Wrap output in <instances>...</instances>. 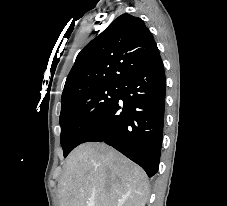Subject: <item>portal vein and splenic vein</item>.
Here are the masks:
<instances>
[{"mask_svg": "<svg viewBox=\"0 0 227 206\" xmlns=\"http://www.w3.org/2000/svg\"><path fill=\"white\" fill-rule=\"evenodd\" d=\"M87 206H94V201L87 202Z\"/></svg>", "mask_w": 227, "mask_h": 206, "instance_id": "1", "label": "portal vein and splenic vein"}]
</instances>
